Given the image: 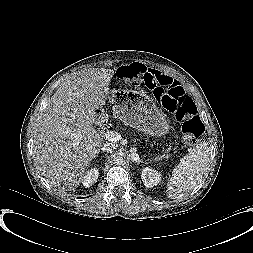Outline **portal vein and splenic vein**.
Segmentation results:
<instances>
[{
	"instance_id": "obj_1",
	"label": "portal vein and splenic vein",
	"mask_w": 253,
	"mask_h": 253,
	"mask_svg": "<svg viewBox=\"0 0 253 253\" xmlns=\"http://www.w3.org/2000/svg\"><path fill=\"white\" fill-rule=\"evenodd\" d=\"M105 138L111 142H117L121 139V136L118 132L116 131H110L108 130L106 133H105Z\"/></svg>"
}]
</instances>
